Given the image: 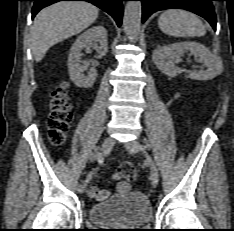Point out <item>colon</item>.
<instances>
[{
  "instance_id": "5ec220e1",
  "label": "colon",
  "mask_w": 234,
  "mask_h": 231,
  "mask_svg": "<svg viewBox=\"0 0 234 231\" xmlns=\"http://www.w3.org/2000/svg\"><path fill=\"white\" fill-rule=\"evenodd\" d=\"M66 88L65 84L57 87L50 99L48 128L49 136L54 143H61L64 140L72 119ZM120 178H126L129 182L136 180V170L131 163H122L118 170L113 173V179L119 180Z\"/></svg>"
}]
</instances>
